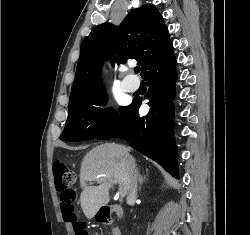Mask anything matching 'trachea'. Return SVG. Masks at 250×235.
I'll use <instances>...</instances> for the list:
<instances>
[{"label":"trachea","mask_w":250,"mask_h":235,"mask_svg":"<svg viewBox=\"0 0 250 235\" xmlns=\"http://www.w3.org/2000/svg\"><path fill=\"white\" fill-rule=\"evenodd\" d=\"M134 72H135V73H139V72H140V67H135V68H134Z\"/></svg>","instance_id":"1"}]
</instances>
